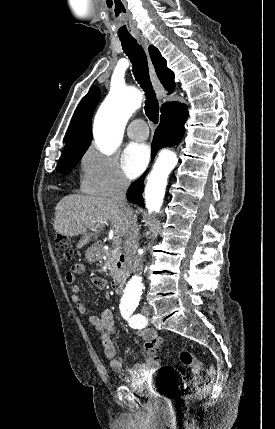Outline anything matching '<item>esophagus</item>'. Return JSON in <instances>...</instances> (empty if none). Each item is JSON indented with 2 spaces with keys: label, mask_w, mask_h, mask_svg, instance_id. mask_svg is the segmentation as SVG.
Returning <instances> with one entry per match:
<instances>
[{
  "label": "esophagus",
  "mask_w": 275,
  "mask_h": 429,
  "mask_svg": "<svg viewBox=\"0 0 275 429\" xmlns=\"http://www.w3.org/2000/svg\"><path fill=\"white\" fill-rule=\"evenodd\" d=\"M137 39H139L142 42L143 46L147 50L148 49V45H149L148 41L144 37H142V36H137ZM148 67H149L151 80H152V83L154 85L156 94H157L158 98L161 100L164 97V95H165L164 88H163L162 84L160 83V81H159V79H158V77L156 75L154 66H153V64H152V62H151L150 59L148 60Z\"/></svg>",
  "instance_id": "1"
}]
</instances>
